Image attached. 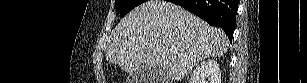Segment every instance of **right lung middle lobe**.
<instances>
[{
  "label": "right lung middle lobe",
  "instance_id": "1",
  "mask_svg": "<svg viewBox=\"0 0 307 83\" xmlns=\"http://www.w3.org/2000/svg\"><path fill=\"white\" fill-rule=\"evenodd\" d=\"M145 1L146 0H116L115 6L119 10L120 15L125 16L129 11Z\"/></svg>",
  "mask_w": 307,
  "mask_h": 83
}]
</instances>
